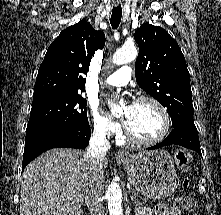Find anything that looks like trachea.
Returning <instances> with one entry per match:
<instances>
[{
  "label": "trachea",
  "mask_w": 221,
  "mask_h": 215,
  "mask_svg": "<svg viewBox=\"0 0 221 215\" xmlns=\"http://www.w3.org/2000/svg\"><path fill=\"white\" fill-rule=\"evenodd\" d=\"M122 17V7L121 5H118L116 7H113L112 15H111V26L113 29H117Z\"/></svg>",
  "instance_id": "trachea-1"
}]
</instances>
